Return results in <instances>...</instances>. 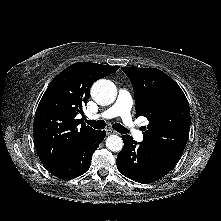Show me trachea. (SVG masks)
<instances>
[{
  "label": "trachea",
  "mask_w": 221,
  "mask_h": 221,
  "mask_svg": "<svg viewBox=\"0 0 221 221\" xmlns=\"http://www.w3.org/2000/svg\"><path fill=\"white\" fill-rule=\"evenodd\" d=\"M86 122H87V124H89L90 126H92L95 129H103V128H105V125H106V123L102 120H98V121L87 120ZM113 128H114V130H116L117 132H119L121 134L127 133V129L119 123L114 124Z\"/></svg>",
  "instance_id": "1"
}]
</instances>
